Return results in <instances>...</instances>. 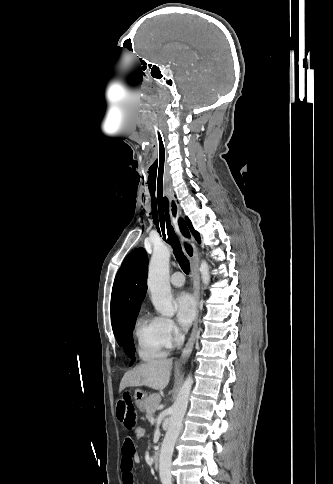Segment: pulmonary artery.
Returning a JSON list of instances; mask_svg holds the SVG:
<instances>
[{"label": "pulmonary artery", "instance_id": "obj_1", "mask_svg": "<svg viewBox=\"0 0 333 484\" xmlns=\"http://www.w3.org/2000/svg\"><path fill=\"white\" fill-rule=\"evenodd\" d=\"M170 282L175 287H181L184 285V275L176 271L170 276Z\"/></svg>", "mask_w": 333, "mask_h": 484}]
</instances>
